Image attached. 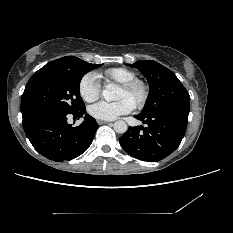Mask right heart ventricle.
<instances>
[{"label": "right heart ventricle", "instance_id": "obj_1", "mask_svg": "<svg viewBox=\"0 0 233 233\" xmlns=\"http://www.w3.org/2000/svg\"><path fill=\"white\" fill-rule=\"evenodd\" d=\"M96 76L105 83L116 82L119 84L137 78V74L133 70L125 67L108 68L102 73H98Z\"/></svg>", "mask_w": 233, "mask_h": 233}]
</instances>
